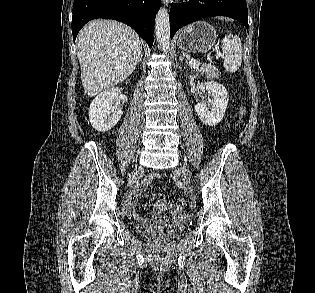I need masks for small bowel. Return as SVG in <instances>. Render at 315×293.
<instances>
[{
	"mask_svg": "<svg viewBox=\"0 0 315 293\" xmlns=\"http://www.w3.org/2000/svg\"><path fill=\"white\" fill-rule=\"evenodd\" d=\"M160 178L159 173H153L145 180H143L132 192V194L126 199L124 203V209L126 213L136 219H139V214L135 210V204L137 201L138 196L148 187V185ZM170 209V205L166 202L164 194H159L155 206L151 215V219L153 221H159L161 219V215L163 212ZM184 213L182 211H172L171 214L168 216V220L176 221L182 219Z\"/></svg>",
	"mask_w": 315,
	"mask_h": 293,
	"instance_id": "obj_1",
	"label": "small bowel"
}]
</instances>
